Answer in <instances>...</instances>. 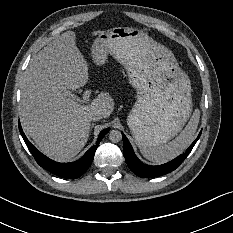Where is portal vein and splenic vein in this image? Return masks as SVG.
Returning <instances> with one entry per match:
<instances>
[{
    "instance_id": "18ae733b",
    "label": "portal vein and splenic vein",
    "mask_w": 233,
    "mask_h": 233,
    "mask_svg": "<svg viewBox=\"0 0 233 233\" xmlns=\"http://www.w3.org/2000/svg\"><path fill=\"white\" fill-rule=\"evenodd\" d=\"M65 95L73 100L76 104L78 105H88L90 102V92L89 91H83L82 96H78L77 94L71 92V91H66Z\"/></svg>"
}]
</instances>
